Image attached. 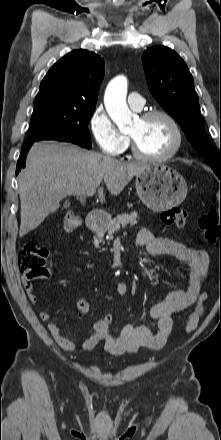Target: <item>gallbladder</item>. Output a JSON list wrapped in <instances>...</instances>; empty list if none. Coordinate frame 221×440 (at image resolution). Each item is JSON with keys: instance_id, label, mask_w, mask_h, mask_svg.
Returning <instances> with one entry per match:
<instances>
[{"instance_id": "1", "label": "gallbladder", "mask_w": 221, "mask_h": 440, "mask_svg": "<svg viewBox=\"0 0 221 440\" xmlns=\"http://www.w3.org/2000/svg\"><path fill=\"white\" fill-rule=\"evenodd\" d=\"M64 206H69V203L66 201V202L64 203Z\"/></svg>"}]
</instances>
